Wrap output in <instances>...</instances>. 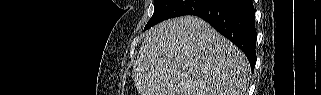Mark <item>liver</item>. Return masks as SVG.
Masks as SVG:
<instances>
[{"mask_svg":"<svg viewBox=\"0 0 321 95\" xmlns=\"http://www.w3.org/2000/svg\"><path fill=\"white\" fill-rule=\"evenodd\" d=\"M246 56L204 20L184 16L147 31L132 78L140 95H244Z\"/></svg>","mask_w":321,"mask_h":95,"instance_id":"liver-1","label":"liver"}]
</instances>
